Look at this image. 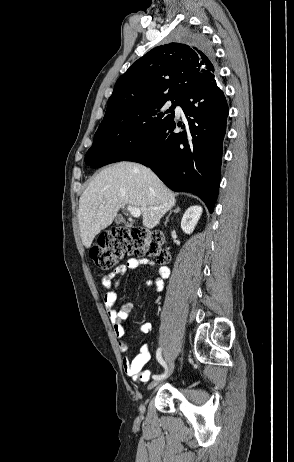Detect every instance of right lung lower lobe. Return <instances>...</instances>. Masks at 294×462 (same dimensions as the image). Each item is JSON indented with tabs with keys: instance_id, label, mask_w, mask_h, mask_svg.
I'll list each match as a JSON object with an SVG mask.
<instances>
[{
	"instance_id": "obj_1",
	"label": "right lung lower lobe",
	"mask_w": 294,
	"mask_h": 462,
	"mask_svg": "<svg viewBox=\"0 0 294 462\" xmlns=\"http://www.w3.org/2000/svg\"><path fill=\"white\" fill-rule=\"evenodd\" d=\"M179 106L187 118L176 133L172 121L133 150L123 161L150 167L172 190L199 196L212 213L221 176L222 142L228 106L217 78L184 93ZM93 168L105 165L102 155L85 160Z\"/></svg>"
}]
</instances>
